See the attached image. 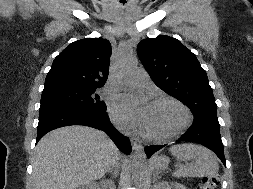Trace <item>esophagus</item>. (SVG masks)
<instances>
[{"mask_svg":"<svg viewBox=\"0 0 253 189\" xmlns=\"http://www.w3.org/2000/svg\"><path fill=\"white\" fill-rule=\"evenodd\" d=\"M130 141H131V144H132V147L134 150L138 149L141 146L139 138H137L135 136H132L130 138Z\"/></svg>","mask_w":253,"mask_h":189,"instance_id":"34e87169","label":"esophagus"}]
</instances>
